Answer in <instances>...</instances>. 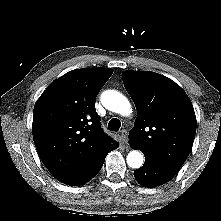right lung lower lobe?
<instances>
[{"label":"right lung lower lobe","mask_w":221,"mask_h":221,"mask_svg":"<svg viewBox=\"0 0 221 221\" xmlns=\"http://www.w3.org/2000/svg\"><path fill=\"white\" fill-rule=\"evenodd\" d=\"M119 144L115 147L109 149L108 151L101 154L93 163H91L86 169H84L79 175L66 182L67 185L78 186L88 182L92 177H94L101 169L107 154L117 148Z\"/></svg>","instance_id":"1"}]
</instances>
